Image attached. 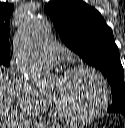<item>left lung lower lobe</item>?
Wrapping results in <instances>:
<instances>
[{"label": "left lung lower lobe", "mask_w": 125, "mask_h": 128, "mask_svg": "<svg viewBox=\"0 0 125 128\" xmlns=\"http://www.w3.org/2000/svg\"><path fill=\"white\" fill-rule=\"evenodd\" d=\"M109 112V111H108ZM115 113V112H114ZM120 113H122V114H124L125 115V112H120Z\"/></svg>", "instance_id": "left-lung-lower-lobe-1"}]
</instances>
